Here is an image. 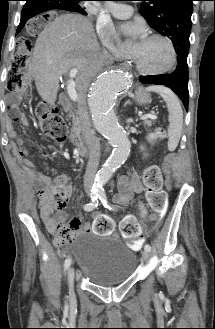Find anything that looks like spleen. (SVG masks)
<instances>
[{"instance_id":"obj_1","label":"spleen","mask_w":215,"mask_h":329,"mask_svg":"<svg viewBox=\"0 0 215 329\" xmlns=\"http://www.w3.org/2000/svg\"><path fill=\"white\" fill-rule=\"evenodd\" d=\"M146 91L158 93L166 102L170 123L168 128V149L174 151L179 143L183 128V111L179 99L170 89L163 86H149Z\"/></svg>"}]
</instances>
